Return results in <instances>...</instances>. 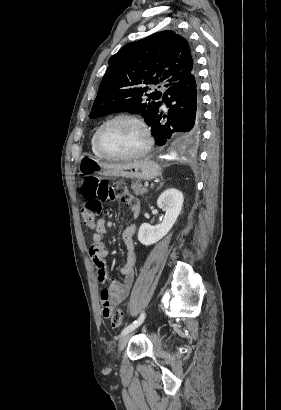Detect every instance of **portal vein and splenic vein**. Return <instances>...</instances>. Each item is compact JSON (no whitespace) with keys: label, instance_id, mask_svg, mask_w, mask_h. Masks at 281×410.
Segmentation results:
<instances>
[{"label":"portal vein and splenic vein","instance_id":"1","mask_svg":"<svg viewBox=\"0 0 281 410\" xmlns=\"http://www.w3.org/2000/svg\"><path fill=\"white\" fill-rule=\"evenodd\" d=\"M144 186H145V187H148V186H149V184H148V183H145V184H144Z\"/></svg>","mask_w":281,"mask_h":410}]
</instances>
